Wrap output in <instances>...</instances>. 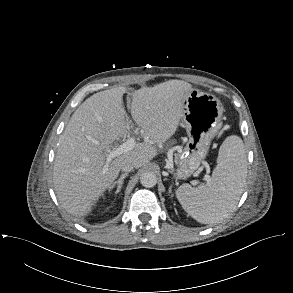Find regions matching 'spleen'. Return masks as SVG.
Instances as JSON below:
<instances>
[{"label": "spleen", "instance_id": "1", "mask_svg": "<svg viewBox=\"0 0 293 293\" xmlns=\"http://www.w3.org/2000/svg\"><path fill=\"white\" fill-rule=\"evenodd\" d=\"M247 176V160L240 137L228 136L219 149L217 165L206 185L182 184L176 191L183 209L196 221L214 224L236 208Z\"/></svg>", "mask_w": 293, "mask_h": 293}]
</instances>
